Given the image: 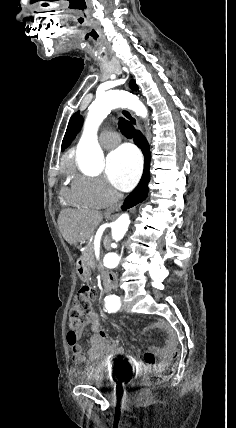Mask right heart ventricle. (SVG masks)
<instances>
[{
    "mask_svg": "<svg viewBox=\"0 0 236 428\" xmlns=\"http://www.w3.org/2000/svg\"><path fill=\"white\" fill-rule=\"evenodd\" d=\"M66 168H67L68 172L72 173L74 171V169H75V163L71 162V161L68 162L66 164ZM64 193L67 194V195H69L72 198L74 197V195L72 194V192L68 191L67 189H64Z\"/></svg>",
    "mask_w": 236,
    "mask_h": 428,
    "instance_id": "1",
    "label": "right heart ventricle"
}]
</instances>
